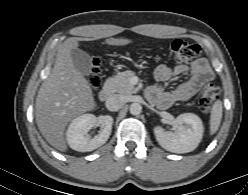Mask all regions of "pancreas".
Listing matches in <instances>:
<instances>
[{
	"mask_svg": "<svg viewBox=\"0 0 248 195\" xmlns=\"http://www.w3.org/2000/svg\"><path fill=\"white\" fill-rule=\"evenodd\" d=\"M133 76H135V72L130 70L117 73V75L107 79L105 87L111 93L133 94L136 92V88L130 83Z\"/></svg>",
	"mask_w": 248,
	"mask_h": 195,
	"instance_id": "1",
	"label": "pancreas"
}]
</instances>
